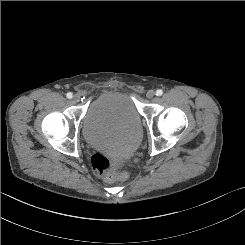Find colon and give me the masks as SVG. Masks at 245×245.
<instances>
[{
	"label": "colon",
	"mask_w": 245,
	"mask_h": 245,
	"mask_svg": "<svg viewBox=\"0 0 245 245\" xmlns=\"http://www.w3.org/2000/svg\"><path fill=\"white\" fill-rule=\"evenodd\" d=\"M91 164L95 174L106 181L125 180L128 174L123 170V163L103 154H94Z\"/></svg>",
	"instance_id": "obj_1"
}]
</instances>
